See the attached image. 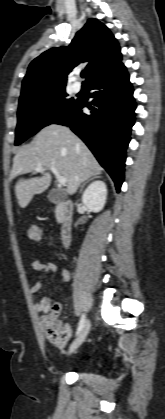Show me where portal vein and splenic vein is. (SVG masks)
I'll return each mask as SVG.
<instances>
[{"mask_svg":"<svg viewBox=\"0 0 165 419\" xmlns=\"http://www.w3.org/2000/svg\"><path fill=\"white\" fill-rule=\"evenodd\" d=\"M50 169L53 172V174L55 175V177L57 178L58 183L60 185H65L66 181H67L66 178L61 176L55 167L52 166V167H50ZM35 170L37 172H41L43 170V168L41 166H38Z\"/></svg>","mask_w":165,"mask_h":419,"instance_id":"18ae733b","label":"portal vein and splenic vein"}]
</instances>
